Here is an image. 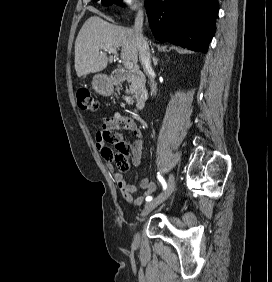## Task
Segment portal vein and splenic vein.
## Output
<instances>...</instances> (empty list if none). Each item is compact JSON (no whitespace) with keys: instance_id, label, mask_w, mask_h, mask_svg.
Here are the masks:
<instances>
[{"instance_id":"portal-vein-and-splenic-vein-1","label":"portal vein and splenic vein","mask_w":272,"mask_h":282,"mask_svg":"<svg viewBox=\"0 0 272 282\" xmlns=\"http://www.w3.org/2000/svg\"><path fill=\"white\" fill-rule=\"evenodd\" d=\"M100 49H102V50H104V51H108L109 53H113V54H115V56H117V52H116V50L113 49V48H109V47H106V46H104V45H100ZM124 67H125L126 69H132V68H133V63H132L131 61H126V62L124 63Z\"/></svg>"}]
</instances>
